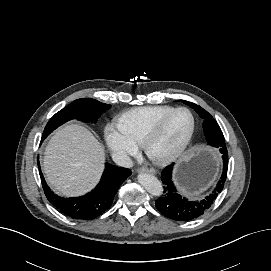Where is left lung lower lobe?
I'll return each mask as SVG.
<instances>
[{
  "mask_svg": "<svg viewBox=\"0 0 271 271\" xmlns=\"http://www.w3.org/2000/svg\"><path fill=\"white\" fill-rule=\"evenodd\" d=\"M223 159V173L214 191L200 201H189L177 193L172 182L174 164L164 168L161 179L164 183V195L155 202L156 208L166 217L176 221H191L202 216L214 203L222 191L227 177L228 153L226 147L219 148Z\"/></svg>",
  "mask_w": 271,
  "mask_h": 271,
  "instance_id": "left-lung-lower-lobe-1",
  "label": "left lung lower lobe"
}]
</instances>
